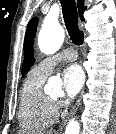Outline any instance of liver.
I'll return each mask as SVG.
<instances>
[{
  "instance_id": "1",
  "label": "liver",
  "mask_w": 116,
  "mask_h": 134,
  "mask_svg": "<svg viewBox=\"0 0 116 134\" xmlns=\"http://www.w3.org/2000/svg\"><path fill=\"white\" fill-rule=\"evenodd\" d=\"M47 134H52V132L50 131V132H48Z\"/></svg>"
}]
</instances>
